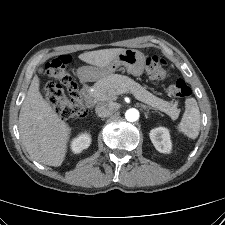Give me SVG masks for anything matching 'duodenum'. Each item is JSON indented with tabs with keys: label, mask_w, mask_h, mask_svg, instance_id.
<instances>
[{
	"label": "duodenum",
	"mask_w": 225,
	"mask_h": 225,
	"mask_svg": "<svg viewBox=\"0 0 225 225\" xmlns=\"http://www.w3.org/2000/svg\"><path fill=\"white\" fill-rule=\"evenodd\" d=\"M84 86L87 87V85ZM82 99L87 107L90 108L93 106L94 104L93 99L86 90L83 91Z\"/></svg>",
	"instance_id": "duodenum-1"
}]
</instances>
